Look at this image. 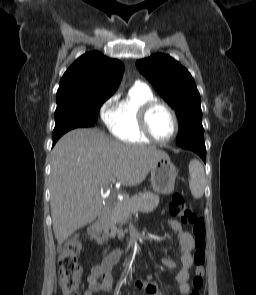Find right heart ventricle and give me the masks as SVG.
Returning <instances> with one entry per match:
<instances>
[{
  "label": "right heart ventricle",
  "instance_id": "e07e8e85",
  "mask_svg": "<svg viewBox=\"0 0 256 295\" xmlns=\"http://www.w3.org/2000/svg\"><path fill=\"white\" fill-rule=\"evenodd\" d=\"M156 99L149 87L143 84L134 85L128 96L117 103L108 115L106 124L112 135L128 144L151 143L140 128L139 112L144 104Z\"/></svg>",
  "mask_w": 256,
  "mask_h": 295
}]
</instances>
